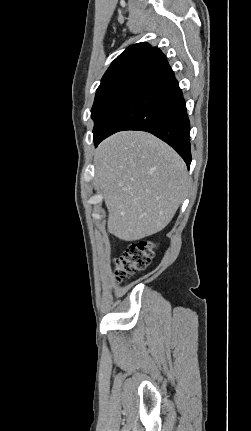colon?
Returning a JSON list of instances; mask_svg holds the SVG:
<instances>
[{
  "instance_id": "obj_1",
  "label": "colon",
  "mask_w": 251,
  "mask_h": 431,
  "mask_svg": "<svg viewBox=\"0 0 251 431\" xmlns=\"http://www.w3.org/2000/svg\"><path fill=\"white\" fill-rule=\"evenodd\" d=\"M154 257V244L150 241L133 243L115 259V276L122 280L148 267Z\"/></svg>"
}]
</instances>
